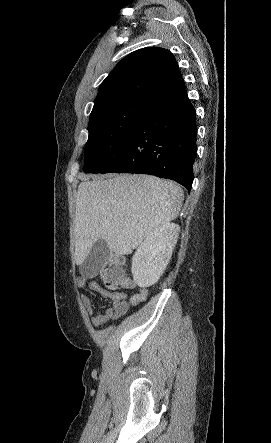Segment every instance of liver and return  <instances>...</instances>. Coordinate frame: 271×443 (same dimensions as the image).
Masks as SVG:
<instances>
[{
  "mask_svg": "<svg viewBox=\"0 0 271 443\" xmlns=\"http://www.w3.org/2000/svg\"><path fill=\"white\" fill-rule=\"evenodd\" d=\"M90 178L79 184L76 194V265H82L98 239L117 255H128L160 225L179 216L184 194L174 182L144 174Z\"/></svg>",
  "mask_w": 271,
  "mask_h": 443,
  "instance_id": "obj_1",
  "label": "liver"
}]
</instances>
